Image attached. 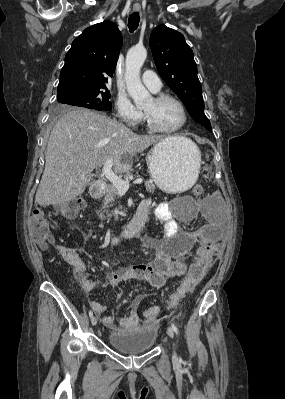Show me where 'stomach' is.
<instances>
[{
  "label": "stomach",
  "mask_w": 285,
  "mask_h": 399,
  "mask_svg": "<svg viewBox=\"0 0 285 399\" xmlns=\"http://www.w3.org/2000/svg\"><path fill=\"white\" fill-rule=\"evenodd\" d=\"M147 164L152 179L161 190L182 193L198 178L201 153L190 139L174 137L158 142L147 154Z\"/></svg>",
  "instance_id": "0dacf381"
}]
</instances>
